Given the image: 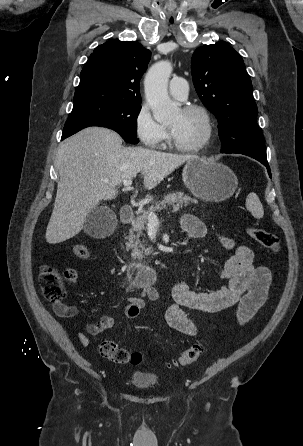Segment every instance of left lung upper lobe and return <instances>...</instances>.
<instances>
[{"mask_svg":"<svg viewBox=\"0 0 303 446\" xmlns=\"http://www.w3.org/2000/svg\"><path fill=\"white\" fill-rule=\"evenodd\" d=\"M191 73L197 94L218 120L221 152L267 158L241 56L225 42L205 45L194 52Z\"/></svg>","mask_w":303,"mask_h":446,"instance_id":"obj_1","label":"left lung upper lobe"}]
</instances>
